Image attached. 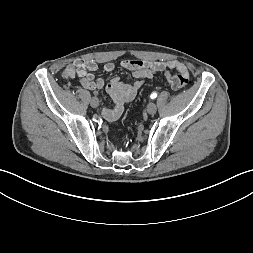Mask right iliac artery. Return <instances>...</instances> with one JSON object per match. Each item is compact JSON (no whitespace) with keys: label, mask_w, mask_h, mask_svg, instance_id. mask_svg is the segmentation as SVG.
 <instances>
[{"label":"right iliac artery","mask_w":253,"mask_h":253,"mask_svg":"<svg viewBox=\"0 0 253 253\" xmlns=\"http://www.w3.org/2000/svg\"><path fill=\"white\" fill-rule=\"evenodd\" d=\"M93 95H94V96H97V95H98V92H96V91L93 92Z\"/></svg>","instance_id":"1"}]
</instances>
